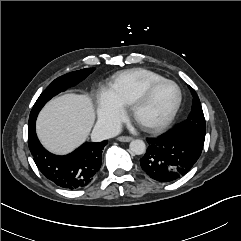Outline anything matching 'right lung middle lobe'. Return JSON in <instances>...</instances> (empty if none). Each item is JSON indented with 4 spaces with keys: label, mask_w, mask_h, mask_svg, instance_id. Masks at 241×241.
<instances>
[{
    "label": "right lung middle lobe",
    "mask_w": 241,
    "mask_h": 241,
    "mask_svg": "<svg viewBox=\"0 0 241 241\" xmlns=\"http://www.w3.org/2000/svg\"><path fill=\"white\" fill-rule=\"evenodd\" d=\"M95 68H86L78 71H73L63 76L55 79L39 96L35 102L29 117V122H32L35 119L45 105L53 96L58 93L65 91L67 88L76 85L77 83L84 80L89 74H91Z\"/></svg>",
    "instance_id": "obj_1"
}]
</instances>
